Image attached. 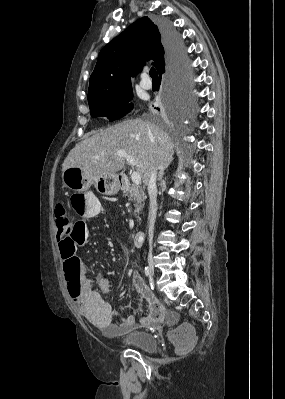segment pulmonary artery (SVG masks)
I'll use <instances>...</instances> for the list:
<instances>
[{
	"label": "pulmonary artery",
	"instance_id": "e3ab8cb5",
	"mask_svg": "<svg viewBox=\"0 0 285 399\" xmlns=\"http://www.w3.org/2000/svg\"><path fill=\"white\" fill-rule=\"evenodd\" d=\"M140 86L145 90H149L152 87V82L147 75L140 81Z\"/></svg>",
	"mask_w": 285,
	"mask_h": 399
}]
</instances>
